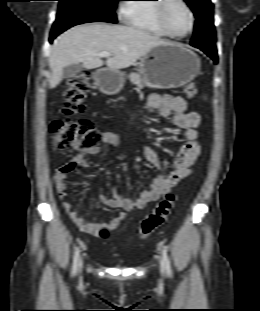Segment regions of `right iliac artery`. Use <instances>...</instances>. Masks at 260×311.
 <instances>
[{
    "label": "right iliac artery",
    "mask_w": 260,
    "mask_h": 311,
    "mask_svg": "<svg viewBox=\"0 0 260 311\" xmlns=\"http://www.w3.org/2000/svg\"><path fill=\"white\" fill-rule=\"evenodd\" d=\"M79 256H80V249L78 247L76 248L74 256H73V263H72V275L73 276L77 273Z\"/></svg>",
    "instance_id": "1"
}]
</instances>
